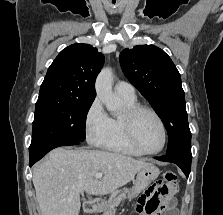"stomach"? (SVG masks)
<instances>
[{"label": "stomach", "mask_w": 223, "mask_h": 215, "mask_svg": "<svg viewBox=\"0 0 223 215\" xmlns=\"http://www.w3.org/2000/svg\"><path fill=\"white\" fill-rule=\"evenodd\" d=\"M159 173L160 171L158 167L154 165V163H148V165H145V167H142L140 171H137V177H136L133 190L138 189L140 193V191H143L145 187H148V185H150V183H152V181H154V179L158 177ZM101 204H103L102 201L99 207H101Z\"/></svg>", "instance_id": "1"}]
</instances>
